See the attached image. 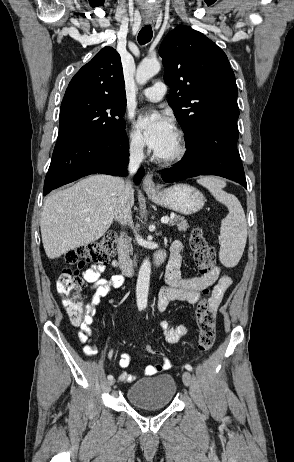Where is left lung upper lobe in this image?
<instances>
[{
  "label": "left lung upper lobe",
  "instance_id": "1",
  "mask_svg": "<svg viewBox=\"0 0 294 462\" xmlns=\"http://www.w3.org/2000/svg\"><path fill=\"white\" fill-rule=\"evenodd\" d=\"M164 80L168 103L186 135L193 140L220 110L237 105L235 75L226 54L204 34L178 26L163 40Z\"/></svg>",
  "mask_w": 294,
  "mask_h": 462
}]
</instances>
